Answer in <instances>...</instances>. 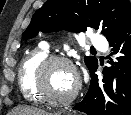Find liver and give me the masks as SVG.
Here are the masks:
<instances>
[{
    "label": "liver",
    "instance_id": "liver-1",
    "mask_svg": "<svg viewBox=\"0 0 131 115\" xmlns=\"http://www.w3.org/2000/svg\"><path fill=\"white\" fill-rule=\"evenodd\" d=\"M12 113L14 115H49L47 112L34 107H18Z\"/></svg>",
    "mask_w": 131,
    "mask_h": 115
}]
</instances>
